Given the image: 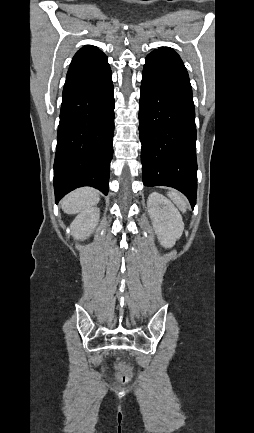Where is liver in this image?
I'll return each mask as SVG.
<instances>
[{
  "mask_svg": "<svg viewBox=\"0 0 254 433\" xmlns=\"http://www.w3.org/2000/svg\"><path fill=\"white\" fill-rule=\"evenodd\" d=\"M100 200L99 192L90 187L79 188L62 200V209L67 214H76L91 209Z\"/></svg>",
  "mask_w": 254,
  "mask_h": 433,
  "instance_id": "1",
  "label": "liver"
}]
</instances>
